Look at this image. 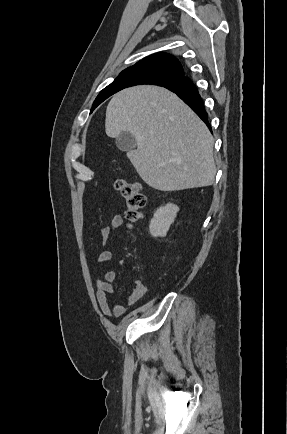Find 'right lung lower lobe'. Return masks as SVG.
I'll return each mask as SVG.
<instances>
[{
    "instance_id": "1",
    "label": "right lung lower lobe",
    "mask_w": 287,
    "mask_h": 434,
    "mask_svg": "<svg viewBox=\"0 0 287 434\" xmlns=\"http://www.w3.org/2000/svg\"><path fill=\"white\" fill-rule=\"evenodd\" d=\"M163 87L176 93L206 123L209 129H211L203 100L189 77H185L178 82Z\"/></svg>"
}]
</instances>
